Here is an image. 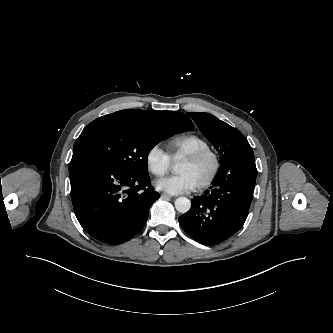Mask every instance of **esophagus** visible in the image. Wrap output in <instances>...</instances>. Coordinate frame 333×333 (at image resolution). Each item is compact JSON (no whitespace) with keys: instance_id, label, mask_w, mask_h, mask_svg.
<instances>
[{"instance_id":"esophagus-1","label":"esophagus","mask_w":333,"mask_h":333,"mask_svg":"<svg viewBox=\"0 0 333 333\" xmlns=\"http://www.w3.org/2000/svg\"><path fill=\"white\" fill-rule=\"evenodd\" d=\"M161 198H162V199H170L171 196L168 195V194L162 193V194H161Z\"/></svg>"}]
</instances>
